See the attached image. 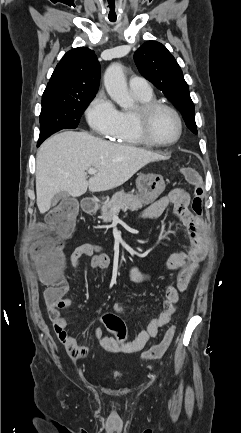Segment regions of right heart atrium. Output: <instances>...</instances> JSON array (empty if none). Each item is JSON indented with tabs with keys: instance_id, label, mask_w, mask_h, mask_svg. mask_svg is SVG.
<instances>
[{
	"instance_id": "right-heart-atrium-1",
	"label": "right heart atrium",
	"mask_w": 241,
	"mask_h": 433,
	"mask_svg": "<svg viewBox=\"0 0 241 433\" xmlns=\"http://www.w3.org/2000/svg\"><path fill=\"white\" fill-rule=\"evenodd\" d=\"M119 110L104 94H98L86 110L90 127L104 137H111L119 124Z\"/></svg>"
}]
</instances>
